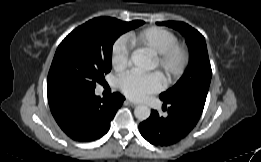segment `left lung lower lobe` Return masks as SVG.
I'll return each instance as SVG.
<instances>
[{"label":"left lung lower lobe","instance_id":"left-lung-lower-lobe-1","mask_svg":"<svg viewBox=\"0 0 261 162\" xmlns=\"http://www.w3.org/2000/svg\"><path fill=\"white\" fill-rule=\"evenodd\" d=\"M204 104L188 95L169 102L163 101V107L169 106L168 115L161 117L156 110H152L150 117L140 123L139 131L153 145H172L187 136L196 126Z\"/></svg>","mask_w":261,"mask_h":162}]
</instances>
